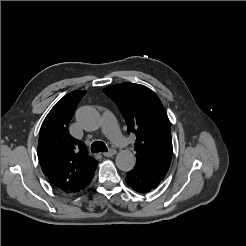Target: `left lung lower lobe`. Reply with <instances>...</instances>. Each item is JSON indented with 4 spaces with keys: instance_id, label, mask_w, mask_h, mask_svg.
I'll return each instance as SVG.
<instances>
[{
    "instance_id": "1",
    "label": "left lung lower lobe",
    "mask_w": 246,
    "mask_h": 246,
    "mask_svg": "<svg viewBox=\"0 0 246 246\" xmlns=\"http://www.w3.org/2000/svg\"><path fill=\"white\" fill-rule=\"evenodd\" d=\"M143 167L135 166L127 173L126 182L135 191L140 193H147L155 189L162 181Z\"/></svg>"
}]
</instances>
